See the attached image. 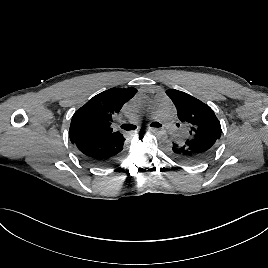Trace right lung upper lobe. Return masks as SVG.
Segmentation results:
<instances>
[{
	"instance_id": "right-lung-upper-lobe-1",
	"label": "right lung upper lobe",
	"mask_w": 268,
	"mask_h": 268,
	"mask_svg": "<svg viewBox=\"0 0 268 268\" xmlns=\"http://www.w3.org/2000/svg\"><path fill=\"white\" fill-rule=\"evenodd\" d=\"M137 90L111 88L91 98L73 115L69 137L73 144L84 140H102L121 134L111 128L113 117Z\"/></svg>"
}]
</instances>
